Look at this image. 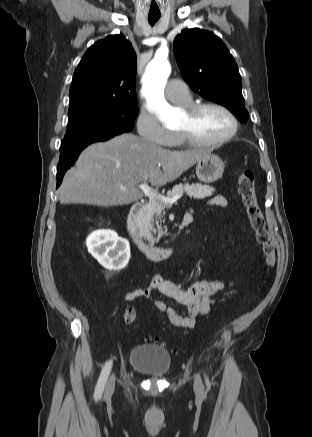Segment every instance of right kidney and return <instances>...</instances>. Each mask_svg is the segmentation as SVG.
I'll use <instances>...</instances> for the list:
<instances>
[{
    "mask_svg": "<svg viewBox=\"0 0 312 437\" xmlns=\"http://www.w3.org/2000/svg\"><path fill=\"white\" fill-rule=\"evenodd\" d=\"M89 253L108 270H120L127 266L130 259V244L115 231L98 230L86 240Z\"/></svg>",
    "mask_w": 312,
    "mask_h": 437,
    "instance_id": "obj_1",
    "label": "right kidney"
}]
</instances>
